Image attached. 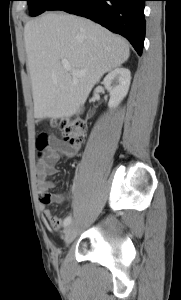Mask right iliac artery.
<instances>
[{
  "label": "right iliac artery",
  "instance_id": "obj_1",
  "mask_svg": "<svg viewBox=\"0 0 181 300\" xmlns=\"http://www.w3.org/2000/svg\"><path fill=\"white\" fill-rule=\"evenodd\" d=\"M70 223H71V217L68 216L64 219V222H63L64 227H67Z\"/></svg>",
  "mask_w": 181,
  "mask_h": 300
}]
</instances>
